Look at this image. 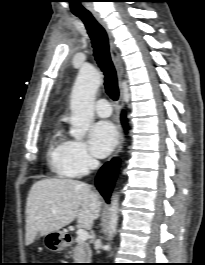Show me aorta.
<instances>
[{"label":"aorta","mask_w":205,"mask_h":265,"mask_svg":"<svg viewBox=\"0 0 205 265\" xmlns=\"http://www.w3.org/2000/svg\"><path fill=\"white\" fill-rule=\"evenodd\" d=\"M102 82L100 73L93 69L83 67L80 69L74 83L70 109H71V129L70 135L77 140H81L88 131L94 116V100L96 92ZM109 221V240L111 241L117 230L119 195L114 194L111 199ZM110 249V244L106 245Z\"/></svg>","instance_id":"762f6f07"}]
</instances>
